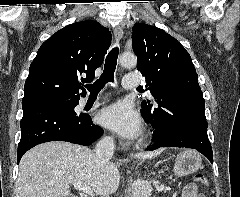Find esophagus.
Instances as JSON below:
<instances>
[{
	"instance_id": "34e87169",
	"label": "esophagus",
	"mask_w": 240,
	"mask_h": 197,
	"mask_svg": "<svg viewBox=\"0 0 240 197\" xmlns=\"http://www.w3.org/2000/svg\"><path fill=\"white\" fill-rule=\"evenodd\" d=\"M114 38L116 42H119L123 38V29L121 26L114 28Z\"/></svg>"
}]
</instances>
